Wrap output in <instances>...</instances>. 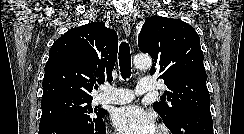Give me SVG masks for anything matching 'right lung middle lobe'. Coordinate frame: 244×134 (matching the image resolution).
<instances>
[{
	"instance_id": "dd1d6c3e",
	"label": "right lung middle lobe",
	"mask_w": 244,
	"mask_h": 134,
	"mask_svg": "<svg viewBox=\"0 0 244 134\" xmlns=\"http://www.w3.org/2000/svg\"><path fill=\"white\" fill-rule=\"evenodd\" d=\"M92 99L61 96L42 100V116L39 132L51 124L74 121L91 123L102 119L106 114L104 109L91 106Z\"/></svg>"
}]
</instances>
